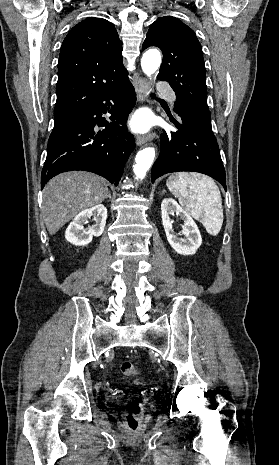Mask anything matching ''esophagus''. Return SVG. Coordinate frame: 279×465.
Listing matches in <instances>:
<instances>
[{"instance_id":"obj_1","label":"esophagus","mask_w":279,"mask_h":465,"mask_svg":"<svg viewBox=\"0 0 279 465\" xmlns=\"http://www.w3.org/2000/svg\"><path fill=\"white\" fill-rule=\"evenodd\" d=\"M138 91V98L140 102H144L147 100L149 92H150V83L145 78H140L137 85ZM155 137L154 133L144 135V136H137L136 137V144L142 145L147 143L148 141L153 140Z\"/></svg>"}]
</instances>
